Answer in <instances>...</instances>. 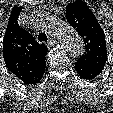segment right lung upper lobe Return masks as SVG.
<instances>
[{"label": "right lung upper lobe", "mask_w": 113, "mask_h": 113, "mask_svg": "<svg viewBox=\"0 0 113 113\" xmlns=\"http://www.w3.org/2000/svg\"><path fill=\"white\" fill-rule=\"evenodd\" d=\"M22 7H14L3 40V58L8 70L26 84L40 82L46 68L47 47L21 28L18 15Z\"/></svg>", "instance_id": "cb5924a9"}]
</instances>
